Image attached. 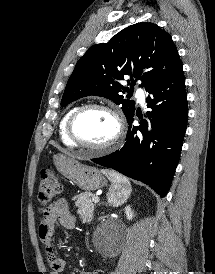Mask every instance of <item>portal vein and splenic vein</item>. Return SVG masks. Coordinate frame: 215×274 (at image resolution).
I'll use <instances>...</instances> for the list:
<instances>
[{
	"label": "portal vein and splenic vein",
	"instance_id": "obj_1",
	"mask_svg": "<svg viewBox=\"0 0 215 274\" xmlns=\"http://www.w3.org/2000/svg\"><path fill=\"white\" fill-rule=\"evenodd\" d=\"M99 197L98 196H94L93 198H92V201L94 202V203H98L99 202Z\"/></svg>",
	"mask_w": 215,
	"mask_h": 274
}]
</instances>
